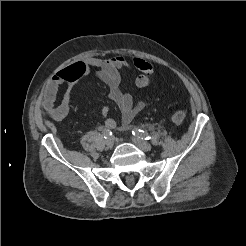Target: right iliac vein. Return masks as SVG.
Wrapping results in <instances>:
<instances>
[{
  "label": "right iliac vein",
  "instance_id": "1",
  "mask_svg": "<svg viewBox=\"0 0 246 246\" xmlns=\"http://www.w3.org/2000/svg\"><path fill=\"white\" fill-rule=\"evenodd\" d=\"M115 144V141H114V138L112 137H108L106 139V145L109 147V148H112Z\"/></svg>",
  "mask_w": 246,
  "mask_h": 246
}]
</instances>
